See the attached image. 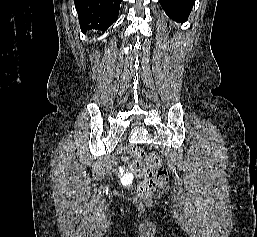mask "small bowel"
Here are the masks:
<instances>
[{
    "label": "small bowel",
    "mask_w": 257,
    "mask_h": 237,
    "mask_svg": "<svg viewBox=\"0 0 257 237\" xmlns=\"http://www.w3.org/2000/svg\"><path fill=\"white\" fill-rule=\"evenodd\" d=\"M118 174L121 176L124 182L130 183L133 180L132 175L127 171L125 167H120Z\"/></svg>",
    "instance_id": "c3829d8e"
}]
</instances>
